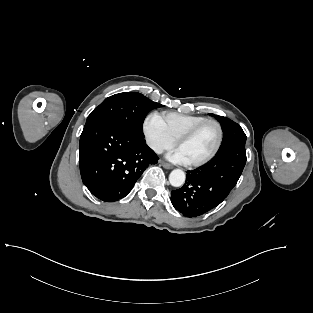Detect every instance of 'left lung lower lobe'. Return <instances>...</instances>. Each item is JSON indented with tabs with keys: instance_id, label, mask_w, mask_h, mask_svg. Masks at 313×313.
<instances>
[{
	"instance_id": "left-lung-lower-lobe-1",
	"label": "left lung lower lobe",
	"mask_w": 313,
	"mask_h": 313,
	"mask_svg": "<svg viewBox=\"0 0 313 313\" xmlns=\"http://www.w3.org/2000/svg\"><path fill=\"white\" fill-rule=\"evenodd\" d=\"M246 163L245 145L217 152L205 166L188 171L185 184L171 193L176 210L197 217L218 206L230 193Z\"/></svg>"
}]
</instances>
